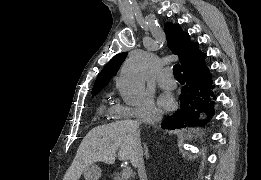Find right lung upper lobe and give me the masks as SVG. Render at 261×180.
<instances>
[{"label":"right lung upper lobe","mask_w":261,"mask_h":180,"mask_svg":"<svg viewBox=\"0 0 261 180\" xmlns=\"http://www.w3.org/2000/svg\"><path fill=\"white\" fill-rule=\"evenodd\" d=\"M164 30L168 41L167 45L174 54L179 56L182 71L205 61L206 54L199 50V43L191 42L189 34L184 33L178 24L173 25L167 22ZM126 56L127 52L119 53L109 61L95 81L92 95H96L107 85L110 78L118 71Z\"/></svg>","instance_id":"obj_1"}]
</instances>
